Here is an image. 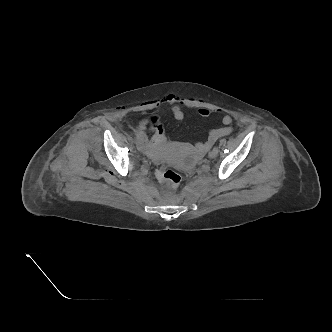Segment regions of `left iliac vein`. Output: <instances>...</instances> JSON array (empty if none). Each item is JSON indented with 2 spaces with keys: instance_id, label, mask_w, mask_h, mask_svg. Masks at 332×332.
<instances>
[{
  "instance_id": "1",
  "label": "left iliac vein",
  "mask_w": 332,
  "mask_h": 332,
  "mask_svg": "<svg viewBox=\"0 0 332 332\" xmlns=\"http://www.w3.org/2000/svg\"><path fill=\"white\" fill-rule=\"evenodd\" d=\"M208 156H209L210 159H213L217 156V153L212 150V151L209 152Z\"/></svg>"
}]
</instances>
